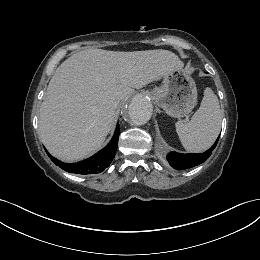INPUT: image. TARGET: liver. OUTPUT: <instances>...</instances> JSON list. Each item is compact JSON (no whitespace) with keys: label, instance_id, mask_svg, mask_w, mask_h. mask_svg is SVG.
<instances>
[{"label":"liver","instance_id":"6515ba94","mask_svg":"<svg viewBox=\"0 0 260 260\" xmlns=\"http://www.w3.org/2000/svg\"><path fill=\"white\" fill-rule=\"evenodd\" d=\"M183 66L162 49L73 54L56 69L40 106L42 143L62 161L86 158L102 146L122 98Z\"/></svg>","mask_w":260,"mask_h":260}]
</instances>
